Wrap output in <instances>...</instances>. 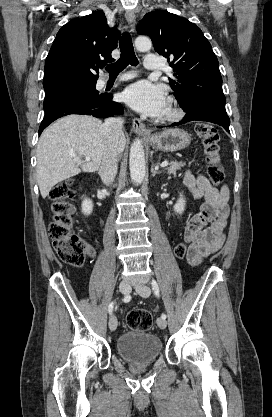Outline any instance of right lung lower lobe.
<instances>
[{"instance_id":"obj_1","label":"right lung lower lobe","mask_w":272,"mask_h":417,"mask_svg":"<svg viewBox=\"0 0 272 417\" xmlns=\"http://www.w3.org/2000/svg\"><path fill=\"white\" fill-rule=\"evenodd\" d=\"M112 94L93 97L87 93L60 96L44 105L45 116L39 127V134L54 120L69 114L92 115L105 118L123 114V107L112 101Z\"/></svg>"}]
</instances>
